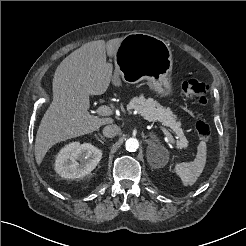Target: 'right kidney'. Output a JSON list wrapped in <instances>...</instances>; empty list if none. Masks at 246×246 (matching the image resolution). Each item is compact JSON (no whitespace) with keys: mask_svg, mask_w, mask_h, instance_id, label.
<instances>
[{"mask_svg":"<svg viewBox=\"0 0 246 246\" xmlns=\"http://www.w3.org/2000/svg\"><path fill=\"white\" fill-rule=\"evenodd\" d=\"M102 158V151L90 143L71 142L55 160V171L63 178L76 179L89 174Z\"/></svg>","mask_w":246,"mask_h":246,"instance_id":"right-kidney-1","label":"right kidney"}]
</instances>
